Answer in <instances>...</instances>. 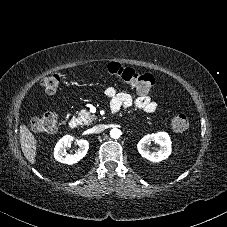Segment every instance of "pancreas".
Here are the masks:
<instances>
[{
	"label": "pancreas",
	"mask_w": 227,
	"mask_h": 227,
	"mask_svg": "<svg viewBox=\"0 0 227 227\" xmlns=\"http://www.w3.org/2000/svg\"><path fill=\"white\" fill-rule=\"evenodd\" d=\"M78 116V119L80 120L82 125H90L95 120V115L86 110H81L78 113Z\"/></svg>",
	"instance_id": "pancreas-1"
}]
</instances>
